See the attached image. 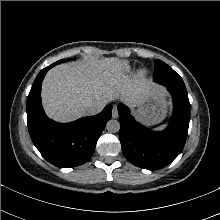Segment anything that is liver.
I'll list each match as a JSON object with an SVG mask.
<instances>
[{
	"label": "liver",
	"instance_id": "6515ba94",
	"mask_svg": "<svg viewBox=\"0 0 220 220\" xmlns=\"http://www.w3.org/2000/svg\"><path fill=\"white\" fill-rule=\"evenodd\" d=\"M125 69L126 63L114 57L89 58L52 68L41 88L47 116L70 122L85 116V107L90 103L121 99L137 106L158 90L150 80L131 79Z\"/></svg>",
	"mask_w": 220,
	"mask_h": 220
}]
</instances>
